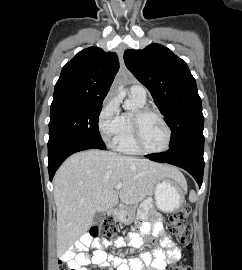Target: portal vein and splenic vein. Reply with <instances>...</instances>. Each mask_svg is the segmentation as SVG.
<instances>
[{
  "mask_svg": "<svg viewBox=\"0 0 242 270\" xmlns=\"http://www.w3.org/2000/svg\"><path fill=\"white\" fill-rule=\"evenodd\" d=\"M123 187V184L122 183H118L115 187V189L118 191L120 190L121 188Z\"/></svg>",
  "mask_w": 242,
  "mask_h": 270,
  "instance_id": "18ae733b",
  "label": "portal vein and splenic vein"
}]
</instances>
